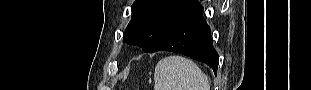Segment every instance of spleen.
<instances>
[{
  "label": "spleen",
  "mask_w": 311,
  "mask_h": 90,
  "mask_svg": "<svg viewBox=\"0 0 311 90\" xmlns=\"http://www.w3.org/2000/svg\"><path fill=\"white\" fill-rule=\"evenodd\" d=\"M154 90H210L208 77L190 59L168 56L158 62Z\"/></svg>",
  "instance_id": "spleen-1"
}]
</instances>
